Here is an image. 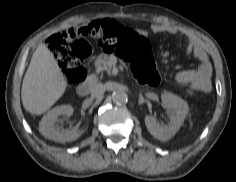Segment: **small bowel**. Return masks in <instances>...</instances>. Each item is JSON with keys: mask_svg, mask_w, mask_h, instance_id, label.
Segmentation results:
<instances>
[{"mask_svg": "<svg viewBox=\"0 0 236 182\" xmlns=\"http://www.w3.org/2000/svg\"><path fill=\"white\" fill-rule=\"evenodd\" d=\"M151 30L155 34L168 33L180 35L183 38L186 44L185 53L193 55L199 61V64L195 68L179 71L176 75L177 81L185 87V92L189 96L208 93L211 89L212 66L202 42L169 24H153Z\"/></svg>", "mask_w": 236, "mask_h": 182, "instance_id": "c3829d8e", "label": "small bowel"}]
</instances>
